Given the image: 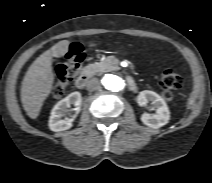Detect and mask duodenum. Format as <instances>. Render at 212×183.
I'll use <instances>...</instances> for the list:
<instances>
[{"mask_svg":"<svg viewBox=\"0 0 212 183\" xmlns=\"http://www.w3.org/2000/svg\"><path fill=\"white\" fill-rule=\"evenodd\" d=\"M90 77V72L89 71H85L83 72L75 81V86L79 89H82L86 86L87 81Z\"/></svg>","mask_w":212,"mask_h":183,"instance_id":"obj_1","label":"duodenum"}]
</instances>
